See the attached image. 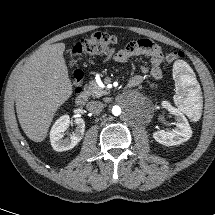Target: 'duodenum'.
<instances>
[{
	"label": "duodenum",
	"instance_id": "obj_1",
	"mask_svg": "<svg viewBox=\"0 0 215 215\" xmlns=\"http://www.w3.org/2000/svg\"><path fill=\"white\" fill-rule=\"evenodd\" d=\"M129 86L130 87H135L136 86V83H130L129 82ZM88 101V94L85 90L81 91L78 96L76 97V103L80 106H83L87 103Z\"/></svg>",
	"mask_w": 215,
	"mask_h": 215
}]
</instances>
